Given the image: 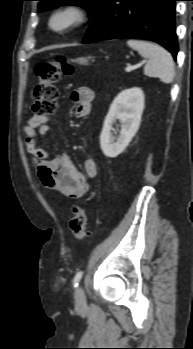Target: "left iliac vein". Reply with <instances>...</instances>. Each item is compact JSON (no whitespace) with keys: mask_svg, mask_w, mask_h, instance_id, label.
I'll use <instances>...</instances> for the list:
<instances>
[{"mask_svg":"<svg viewBox=\"0 0 193 349\" xmlns=\"http://www.w3.org/2000/svg\"><path fill=\"white\" fill-rule=\"evenodd\" d=\"M75 304L78 308H84L86 306V296L81 286L75 290Z\"/></svg>","mask_w":193,"mask_h":349,"instance_id":"1","label":"left iliac vein"}]
</instances>
